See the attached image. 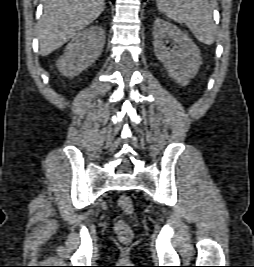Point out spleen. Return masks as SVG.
I'll return each instance as SVG.
<instances>
[{
    "label": "spleen",
    "mask_w": 254,
    "mask_h": 267,
    "mask_svg": "<svg viewBox=\"0 0 254 267\" xmlns=\"http://www.w3.org/2000/svg\"><path fill=\"white\" fill-rule=\"evenodd\" d=\"M160 12L177 23L185 24L202 43L211 45L216 39V25L207 0H157Z\"/></svg>",
    "instance_id": "obj_1"
}]
</instances>
